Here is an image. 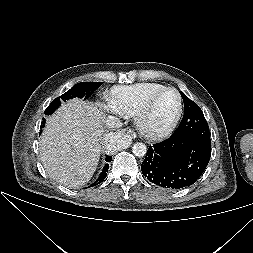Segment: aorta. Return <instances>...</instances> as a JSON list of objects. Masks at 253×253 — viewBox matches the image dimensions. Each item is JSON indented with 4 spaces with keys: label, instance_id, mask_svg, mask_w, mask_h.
I'll return each instance as SVG.
<instances>
[{
    "label": "aorta",
    "instance_id": "obj_1",
    "mask_svg": "<svg viewBox=\"0 0 253 253\" xmlns=\"http://www.w3.org/2000/svg\"><path fill=\"white\" fill-rule=\"evenodd\" d=\"M114 148L116 149L117 146H114ZM132 152L137 157H143L146 155L147 147L143 143H135L132 147Z\"/></svg>",
    "mask_w": 253,
    "mask_h": 253
}]
</instances>
